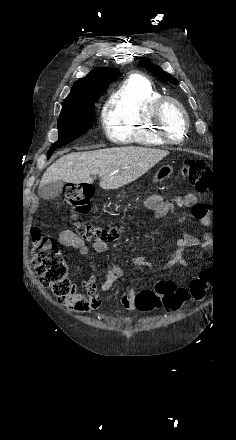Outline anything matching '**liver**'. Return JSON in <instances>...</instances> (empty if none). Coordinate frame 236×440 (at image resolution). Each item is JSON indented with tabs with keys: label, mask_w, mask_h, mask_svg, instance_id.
<instances>
[{
	"label": "liver",
	"mask_w": 236,
	"mask_h": 440,
	"mask_svg": "<svg viewBox=\"0 0 236 440\" xmlns=\"http://www.w3.org/2000/svg\"><path fill=\"white\" fill-rule=\"evenodd\" d=\"M168 154L161 149L133 146L69 153L46 170L39 189L54 181L91 184V175L100 176L101 188L118 189L141 177Z\"/></svg>",
	"instance_id": "6515ba94"
}]
</instances>
